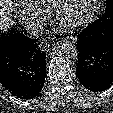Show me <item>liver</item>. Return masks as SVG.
I'll list each match as a JSON object with an SVG mask.
<instances>
[{
    "instance_id": "6515ba94",
    "label": "liver",
    "mask_w": 113,
    "mask_h": 113,
    "mask_svg": "<svg viewBox=\"0 0 113 113\" xmlns=\"http://www.w3.org/2000/svg\"><path fill=\"white\" fill-rule=\"evenodd\" d=\"M0 8V30H7L14 24L9 16L12 11V0H0Z\"/></svg>"
}]
</instances>
